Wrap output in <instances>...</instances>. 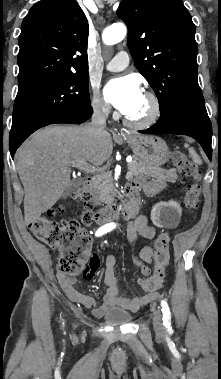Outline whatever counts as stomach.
<instances>
[{"instance_id": "obj_1", "label": "stomach", "mask_w": 221, "mask_h": 379, "mask_svg": "<svg viewBox=\"0 0 221 379\" xmlns=\"http://www.w3.org/2000/svg\"><path fill=\"white\" fill-rule=\"evenodd\" d=\"M125 140L135 157L150 166L160 167L169 160V148L166 142L157 136L130 133Z\"/></svg>"}]
</instances>
